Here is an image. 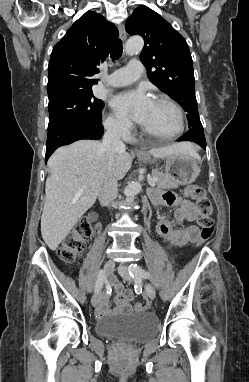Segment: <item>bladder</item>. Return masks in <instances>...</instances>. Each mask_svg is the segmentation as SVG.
<instances>
[{
    "label": "bladder",
    "instance_id": "31cf9c89",
    "mask_svg": "<svg viewBox=\"0 0 249 382\" xmlns=\"http://www.w3.org/2000/svg\"><path fill=\"white\" fill-rule=\"evenodd\" d=\"M95 333L104 339L142 342L154 338L158 320L149 313L113 315L96 321Z\"/></svg>",
    "mask_w": 249,
    "mask_h": 382
}]
</instances>
